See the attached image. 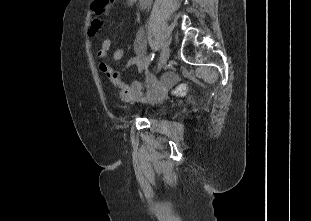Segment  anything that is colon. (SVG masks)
Listing matches in <instances>:
<instances>
[{"instance_id":"colon-1","label":"colon","mask_w":311,"mask_h":221,"mask_svg":"<svg viewBox=\"0 0 311 221\" xmlns=\"http://www.w3.org/2000/svg\"><path fill=\"white\" fill-rule=\"evenodd\" d=\"M112 3V0H95L91 4V16L95 17L94 22L97 25H90V32H100L101 27L104 25V22L100 20V17H106L108 11V5ZM101 26V27H100ZM186 85H180L179 88L175 91L176 95H183L186 91Z\"/></svg>"}]
</instances>
